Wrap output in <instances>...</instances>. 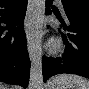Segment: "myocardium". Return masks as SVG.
<instances>
[{"label": "myocardium", "mask_w": 89, "mask_h": 89, "mask_svg": "<svg viewBox=\"0 0 89 89\" xmlns=\"http://www.w3.org/2000/svg\"><path fill=\"white\" fill-rule=\"evenodd\" d=\"M63 48V42L60 38L56 37L53 38L52 40H50V42L48 43V50L52 53V54H56L59 53Z\"/></svg>", "instance_id": "obj_1"}]
</instances>
